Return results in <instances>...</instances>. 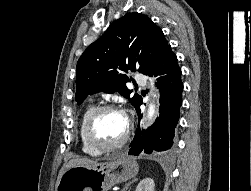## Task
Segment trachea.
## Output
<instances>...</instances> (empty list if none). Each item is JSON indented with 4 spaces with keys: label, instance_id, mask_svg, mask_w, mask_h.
<instances>
[{
    "label": "trachea",
    "instance_id": "trachea-1",
    "mask_svg": "<svg viewBox=\"0 0 251 191\" xmlns=\"http://www.w3.org/2000/svg\"><path fill=\"white\" fill-rule=\"evenodd\" d=\"M135 86V88H138V86L137 85H134Z\"/></svg>",
    "mask_w": 251,
    "mask_h": 191
}]
</instances>
